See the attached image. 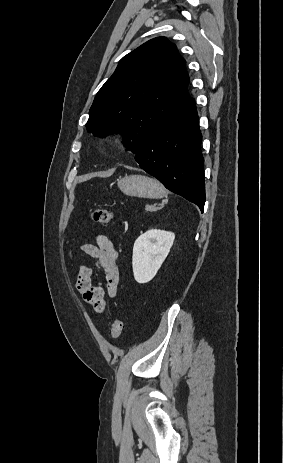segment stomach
I'll use <instances>...</instances> for the list:
<instances>
[{"mask_svg":"<svg viewBox=\"0 0 283 463\" xmlns=\"http://www.w3.org/2000/svg\"><path fill=\"white\" fill-rule=\"evenodd\" d=\"M119 189L128 196L141 198H160L164 187L155 179L142 175H126L118 179Z\"/></svg>","mask_w":283,"mask_h":463,"instance_id":"1","label":"stomach"}]
</instances>
